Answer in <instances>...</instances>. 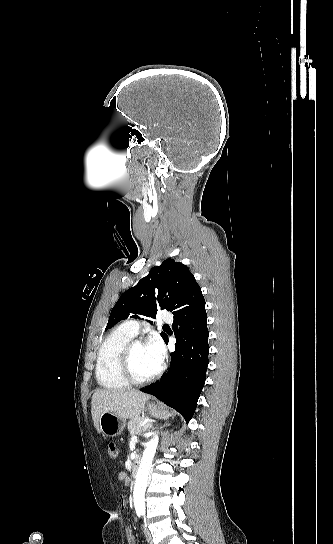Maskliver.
<instances>
[{"label":"liver","instance_id":"liver-1","mask_svg":"<svg viewBox=\"0 0 333 544\" xmlns=\"http://www.w3.org/2000/svg\"><path fill=\"white\" fill-rule=\"evenodd\" d=\"M148 394L137 390H97L91 401L94 426L99 430V420L104 412H112L121 419H135L144 409Z\"/></svg>","mask_w":333,"mask_h":544}]
</instances>
